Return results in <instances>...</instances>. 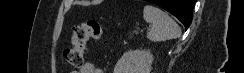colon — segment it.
Here are the masks:
<instances>
[{
    "instance_id": "obj_1",
    "label": "colon",
    "mask_w": 244,
    "mask_h": 73,
    "mask_svg": "<svg viewBox=\"0 0 244 73\" xmlns=\"http://www.w3.org/2000/svg\"><path fill=\"white\" fill-rule=\"evenodd\" d=\"M103 36V25L97 20H86L74 26L71 45L63 54L64 60L75 69L81 68L89 41L101 40Z\"/></svg>"
}]
</instances>
